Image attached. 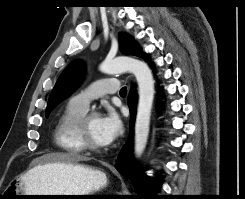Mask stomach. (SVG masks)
<instances>
[{
    "label": "stomach",
    "instance_id": "0dacf381",
    "mask_svg": "<svg viewBox=\"0 0 245 199\" xmlns=\"http://www.w3.org/2000/svg\"><path fill=\"white\" fill-rule=\"evenodd\" d=\"M57 170L59 173L54 175ZM107 183L106 174L96 168L79 163L39 166L22 178L14 180L6 188L11 195H90ZM25 198V196H18ZM77 197H38L37 199H58Z\"/></svg>",
    "mask_w": 245,
    "mask_h": 199
}]
</instances>
